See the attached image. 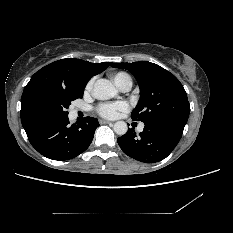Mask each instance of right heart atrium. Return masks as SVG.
I'll list each match as a JSON object with an SVG mask.
<instances>
[{"mask_svg":"<svg viewBox=\"0 0 233 233\" xmlns=\"http://www.w3.org/2000/svg\"><path fill=\"white\" fill-rule=\"evenodd\" d=\"M93 84H94V79H91V80L87 83V85H86V88H85L86 92H90V91H91V89H92V87H93Z\"/></svg>","mask_w":233,"mask_h":233,"instance_id":"right-heart-atrium-1","label":"right heart atrium"}]
</instances>
